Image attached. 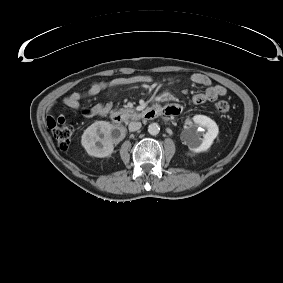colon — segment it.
Wrapping results in <instances>:
<instances>
[{"instance_id":"1","label":"colon","mask_w":283,"mask_h":283,"mask_svg":"<svg viewBox=\"0 0 283 283\" xmlns=\"http://www.w3.org/2000/svg\"><path fill=\"white\" fill-rule=\"evenodd\" d=\"M214 110L219 115H225L230 110V105L226 100H218L214 104ZM54 137L59 146H68L72 138V128L67 124L54 125L51 127Z\"/></svg>"}]
</instances>
